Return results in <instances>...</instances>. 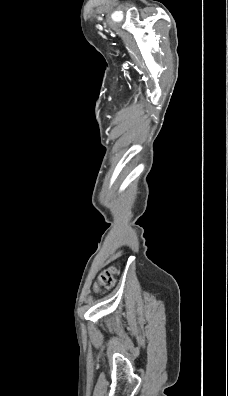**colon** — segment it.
Returning <instances> with one entry per match:
<instances>
[{
	"label": "colon",
	"instance_id": "5ec220e1",
	"mask_svg": "<svg viewBox=\"0 0 228 396\" xmlns=\"http://www.w3.org/2000/svg\"><path fill=\"white\" fill-rule=\"evenodd\" d=\"M117 274H118V270L114 266L108 267L107 269L102 271L98 277L96 289L100 290L101 288L113 287L116 281Z\"/></svg>",
	"mask_w": 228,
	"mask_h": 396
}]
</instances>
